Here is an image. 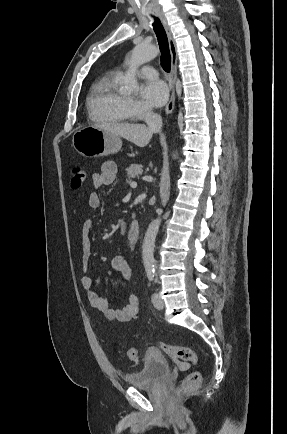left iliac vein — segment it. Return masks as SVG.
Returning a JSON list of instances; mask_svg holds the SVG:
<instances>
[{"instance_id":"4c4485c4","label":"left iliac vein","mask_w":287,"mask_h":434,"mask_svg":"<svg viewBox=\"0 0 287 434\" xmlns=\"http://www.w3.org/2000/svg\"><path fill=\"white\" fill-rule=\"evenodd\" d=\"M152 303H153L154 307L159 309V310L163 309V307H164V302L157 292H155L152 295Z\"/></svg>"}]
</instances>
